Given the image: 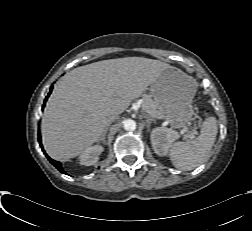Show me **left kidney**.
<instances>
[{
  "label": "left kidney",
  "instance_id": "left-kidney-1",
  "mask_svg": "<svg viewBox=\"0 0 252 231\" xmlns=\"http://www.w3.org/2000/svg\"><path fill=\"white\" fill-rule=\"evenodd\" d=\"M178 137V133L172 129L162 127L154 128L151 132L153 150L157 155L165 156L170 144L178 139Z\"/></svg>",
  "mask_w": 252,
  "mask_h": 231
}]
</instances>
